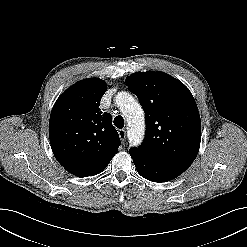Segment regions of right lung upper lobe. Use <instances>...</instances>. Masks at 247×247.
Listing matches in <instances>:
<instances>
[{"mask_svg": "<svg viewBox=\"0 0 247 247\" xmlns=\"http://www.w3.org/2000/svg\"><path fill=\"white\" fill-rule=\"evenodd\" d=\"M106 83L97 78L79 81L56 101L49 120V138L58 162L68 171L99 166L121 144L112 117L99 109Z\"/></svg>", "mask_w": 247, "mask_h": 247, "instance_id": "1", "label": "right lung upper lobe"}]
</instances>
